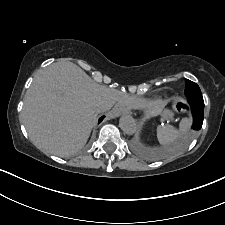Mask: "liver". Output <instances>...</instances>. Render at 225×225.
Instances as JSON below:
<instances>
[{"instance_id": "1", "label": "liver", "mask_w": 225, "mask_h": 225, "mask_svg": "<svg viewBox=\"0 0 225 225\" xmlns=\"http://www.w3.org/2000/svg\"><path fill=\"white\" fill-rule=\"evenodd\" d=\"M121 101L141 106L138 99L96 83L72 62H57L36 73L25 95L22 122L37 148L66 157L86 144L98 106L107 110Z\"/></svg>"}]
</instances>
